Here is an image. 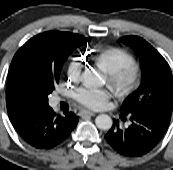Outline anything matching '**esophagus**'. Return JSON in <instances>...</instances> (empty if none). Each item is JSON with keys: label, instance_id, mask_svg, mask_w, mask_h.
<instances>
[{"label": "esophagus", "instance_id": "obj_1", "mask_svg": "<svg viewBox=\"0 0 173 170\" xmlns=\"http://www.w3.org/2000/svg\"><path fill=\"white\" fill-rule=\"evenodd\" d=\"M91 115H94L95 113L94 112H90Z\"/></svg>", "mask_w": 173, "mask_h": 170}]
</instances>
